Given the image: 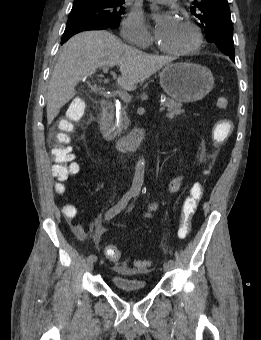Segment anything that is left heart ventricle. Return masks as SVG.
<instances>
[{
  "instance_id": "b2bd125f",
  "label": "left heart ventricle",
  "mask_w": 261,
  "mask_h": 340,
  "mask_svg": "<svg viewBox=\"0 0 261 340\" xmlns=\"http://www.w3.org/2000/svg\"><path fill=\"white\" fill-rule=\"evenodd\" d=\"M194 42L192 31L179 23L176 30L168 37L160 40V43L167 49L181 50L190 47Z\"/></svg>"
}]
</instances>
